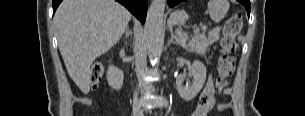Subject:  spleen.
Masks as SVG:
<instances>
[{
  "label": "spleen",
  "mask_w": 305,
  "mask_h": 116,
  "mask_svg": "<svg viewBox=\"0 0 305 116\" xmlns=\"http://www.w3.org/2000/svg\"><path fill=\"white\" fill-rule=\"evenodd\" d=\"M211 19L219 23L226 15L229 5L225 0H210L207 4Z\"/></svg>",
  "instance_id": "3e777b00"
}]
</instances>
